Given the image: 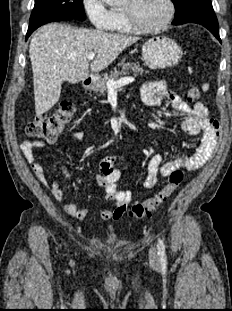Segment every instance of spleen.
Listing matches in <instances>:
<instances>
[{
	"label": "spleen",
	"mask_w": 232,
	"mask_h": 311,
	"mask_svg": "<svg viewBox=\"0 0 232 311\" xmlns=\"http://www.w3.org/2000/svg\"><path fill=\"white\" fill-rule=\"evenodd\" d=\"M202 89H203V91H207L209 89V84H206V83L203 84Z\"/></svg>",
	"instance_id": "spleen-1"
}]
</instances>
